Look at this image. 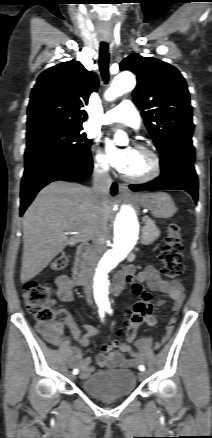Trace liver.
Listing matches in <instances>:
<instances>
[{"label":"liver","instance_id":"1","mask_svg":"<svg viewBox=\"0 0 212 438\" xmlns=\"http://www.w3.org/2000/svg\"><path fill=\"white\" fill-rule=\"evenodd\" d=\"M111 209L109 197L99 202L91 188L77 183L55 181L43 188L23 216L21 282L38 275L67 245L107 231Z\"/></svg>","mask_w":212,"mask_h":438}]
</instances>
